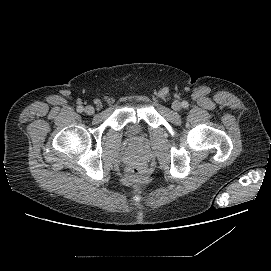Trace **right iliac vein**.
<instances>
[{"mask_svg": "<svg viewBox=\"0 0 271 271\" xmlns=\"http://www.w3.org/2000/svg\"><path fill=\"white\" fill-rule=\"evenodd\" d=\"M85 113L88 115H92L94 113V108L92 106H86L84 109Z\"/></svg>", "mask_w": 271, "mask_h": 271, "instance_id": "right-iliac-vein-1", "label": "right iliac vein"}]
</instances>
